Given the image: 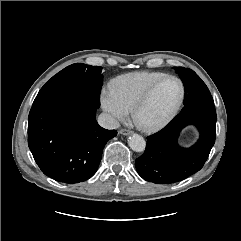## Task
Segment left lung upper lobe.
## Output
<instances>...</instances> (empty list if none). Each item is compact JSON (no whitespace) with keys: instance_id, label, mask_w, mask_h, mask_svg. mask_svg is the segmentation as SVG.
Masks as SVG:
<instances>
[{"instance_id":"1","label":"left lung upper lobe","mask_w":241,"mask_h":241,"mask_svg":"<svg viewBox=\"0 0 241 241\" xmlns=\"http://www.w3.org/2000/svg\"><path fill=\"white\" fill-rule=\"evenodd\" d=\"M184 84L185 96L182 110L200 105L214 104L213 98L206 84L191 69L174 67Z\"/></svg>"}]
</instances>
